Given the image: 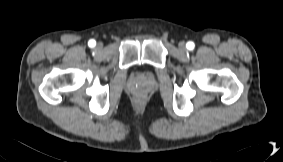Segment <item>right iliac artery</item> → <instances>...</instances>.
Wrapping results in <instances>:
<instances>
[{
  "instance_id": "right-iliac-artery-1",
  "label": "right iliac artery",
  "mask_w": 283,
  "mask_h": 162,
  "mask_svg": "<svg viewBox=\"0 0 283 162\" xmlns=\"http://www.w3.org/2000/svg\"><path fill=\"white\" fill-rule=\"evenodd\" d=\"M88 45L90 46V47H94L95 45H96V41L95 40H90L89 42H88Z\"/></svg>"
}]
</instances>
